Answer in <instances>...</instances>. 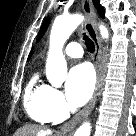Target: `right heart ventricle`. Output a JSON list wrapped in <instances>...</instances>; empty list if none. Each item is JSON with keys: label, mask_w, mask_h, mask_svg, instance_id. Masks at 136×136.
<instances>
[{"label": "right heart ventricle", "mask_w": 136, "mask_h": 136, "mask_svg": "<svg viewBox=\"0 0 136 136\" xmlns=\"http://www.w3.org/2000/svg\"><path fill=\"white\" fill-rule=\"evenodd\" d=\"M45 92L46 85L40 84L38 75L34 74L25 88L24 106L28 115L39 123L53 121L44 103Z\"/></svg>", "instance_id": "e07e8e85"}]
</instances>
